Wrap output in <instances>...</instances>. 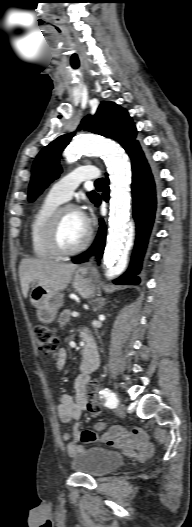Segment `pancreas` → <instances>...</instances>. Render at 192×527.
Segmentation results:
<instances>
[{"label": "pancreas", "instance_id": "pancreas-1", "mask_svg": "<svg viewBox=\"0 0 192 527\" xmlns=\"http://www.w3.org/2000/svg\"><path fill=\"white\" fill-rule=\"evenodd\" d=\"M70 316H71V310H69V309L64 310L60 314V317H59L58 321H59L61 327L65 326L67 323H69Z\"/></svg>", "mask_w": 192, "mask_h": 527}]
</instances>
